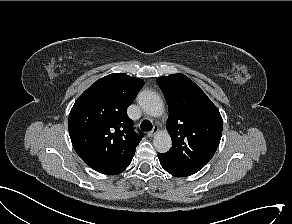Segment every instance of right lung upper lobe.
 Here are the masks:
<instances>
[{
  "label": "right lung upper lobe",
  "instance_id": "cb5924a9",
  "mask_svg": "<svg viewBox=\"0 0 292 224\" xmlns=\"http://www.w3.org/2000/svg\"><path fill=\"white\" fill-rule=\"evenodd\" d=\"M143 85L141 79L113 73L97 80L77 99L68 129L76 153L86 164L116 162L134 155L143 135L134 132L126 109Z\"/></svg>",
  "mask_w": 292,
  "mask_h": 224
}]
</instances>
